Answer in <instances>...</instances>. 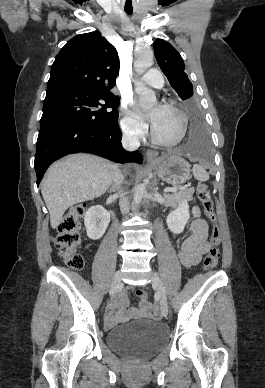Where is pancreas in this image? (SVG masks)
I'll return each mask as SVG.
<instances>
[{
	"mask_svg": "<svg viewBox=\"0 0 265 388\" xmlns=\"http://www.w3.org/2000/svg\"><path fill=\"white\" fill-rule=\"evenodd\" d=\"M194 192L193 188H187V190H180V192H174V194H164L165 206L174 208L181 200H192Z\"/></svg>",
	"mask_w": 265,
	"mask_h": 388,
	"instance_id": "1",
	"label": "pancreas"
}]
</instances>
